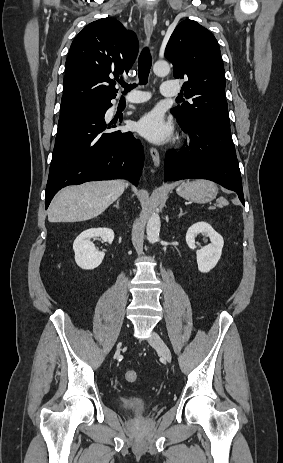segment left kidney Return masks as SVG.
Listing matches in <instances>:
<instances>
[{
  "instance_id": "5707ae66",
  "label": "left kidney",
  "mask_w": 283,
  "mask_h": 463,
  "mask_svg": "<svg viewBox=\"0 0 283 463\" xmlns=\"http://www.w3.org/2000/svg\"><path fill=\"white\" fill-rule=\"evenodd\" d=\"M210 238L211 243L196 251L198 270L207 273L218 263L224 245L223 237L207 222H197L188 228L186 243L191 250H195V238L198 234Z\"/></svg>"
}]
</instances>
